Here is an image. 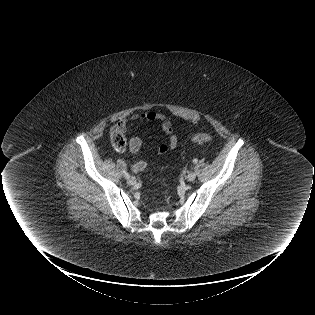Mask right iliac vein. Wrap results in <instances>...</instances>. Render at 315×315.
Instances as JSON below:
<instances>
[{
    "instance_id": "63e3f726",
    "label": "right iliac vein",
    "mask_w": 315,
    "mask_h": 315,
    "mask_svg": "<svg viewBox=\"0 0 315 315\" xmlns=\"http://www.w3.org/2000/svg\"><path fill=\"white\" fill-rule=\"evenodd\" d=\"M127 183L129 185H135L136 184V178L135 177H129L128 180H127Z\"/></svg>"
}]
</instances>
